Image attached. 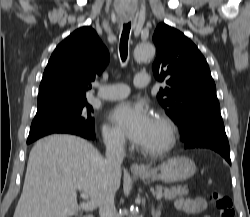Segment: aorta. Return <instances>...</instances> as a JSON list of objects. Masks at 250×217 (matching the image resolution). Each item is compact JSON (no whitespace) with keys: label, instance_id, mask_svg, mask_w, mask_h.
<instances>
[{"label":"aorta","instance_id":"762f6f07","mask_svg":"<svg viewBox=\"0 0 250 217\" xmlns=\"http://www.w3.org/2000/svg\"><path fill=\"white\" fill-rule=\"evenodd\" d=\"M155 54V48L153 45L145 43V44H139L134 51V57L136 60H146L150 59ZM131 217L134 214V210L130 211Z\"/></svg>","mask_w":250,"mask_h":217}]
</instances>
